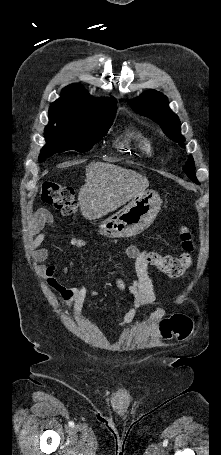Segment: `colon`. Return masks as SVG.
I'll return each instance as SVG.
<instances>
[{
  "label": "colon",
  "instance_id": "1",
  "mask_svg": "<svg viewBox=\"0 0 221 455\" xmlns=\"http://www.w3.org/2000/svg\"><path fill=\"white\" fill-rule=\"evenodd\" d=\"M40 199L53 206L64 216H72L78 212V202L74 190L59 183L45 181L41 185ZM181 241L184 252L180 256L161 255L152 252L147 256V261L162 273L170 277L182 275L192 265V252L194 239L191 231L184 227L181 229ZM191 320L184 315H173L164 319L160 324L161 335L164 339L177 337L187 338L192 331Z\"/></svg>",
  "mask_w": 221,
  "mask_h": 455
}]
</instances>
